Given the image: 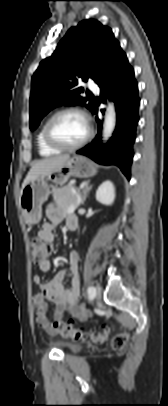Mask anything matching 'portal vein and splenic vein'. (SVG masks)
<instances>
[{
	"label": "portal vein and splenic vein",
	"mask_w": 168,
	"mask_h": 406,
	"mask_svg": "<svg viewBox=\"0 0 168 406\" xmlns=\"http://www.w3.org/2000/svg\"><path fill=\"white\" fill-rule=\"evenodd\" d=\"M78 204H79V200H78V203H77L76 205L70 206V207L68 208L67 212H68V213H73V212L75 211V209L77 208Z\"/></svg>",
	"instance_id": "1"
}]
</instances>
